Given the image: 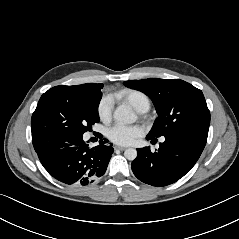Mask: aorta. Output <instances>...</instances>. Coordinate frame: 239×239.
Wrapping results in <instances>:
<instances>
[{
	"mask_svg": "<svg viewBox=\"0 0 239 239\" xmlns=\"http://www.w3.org/2000/svg\"><path fill=\"white\" fill-rule=\"evenodd\" d=\"M114 120L119 124H132L136 121V115L129 106L120 105L113 113ZM124 156L133 161L137 157V150L128 148L124 152Z\"/></svg>",
	"mask_w": 239,
	"mask_h": 239,
	"instance_id": "762f6f07",
	"label": "aorta"
}]
</instances>
